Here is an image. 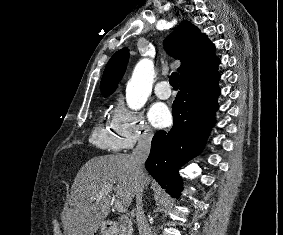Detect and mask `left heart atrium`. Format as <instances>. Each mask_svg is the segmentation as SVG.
<instances>
[{"instance_id": "39dd6f15", "label": "left heart atrium", "mask_w": 283, "mask_h": 235, "mask_svg": "<svg viewBox=\"0 0 283 235\" xmlns=\"http://www.w3.org/2000/svg\"><path fill=\"white\" fill-rule=\"evenodd\" d=\"M148 118L155 127L162 128L169 125L171 114L166 105L157 103L150 108Z\"/></svg>"}]
</instances>
